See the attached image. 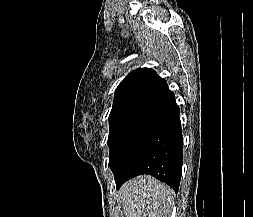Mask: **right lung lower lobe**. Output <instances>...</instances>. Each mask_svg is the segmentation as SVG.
Returning <instances> with one entry per match:
<instances>
[{
    "mask_svg": "<svg viewBox=\"0 0 253 217\" xmlns=\"http://www.w3.org/2000/svg\"><path fill=\"white\" fill-rule=\"evenodd\" d=\"M183 139L179 107L166 91L128 128L109 159L116 187L150 174L178 191L182 175Z\"/></svg>",
    "mask_w": 253,
    "mask_h": 217,
    "instance_id": "right-lung-lower-lobe-1",
    "label": "right lung lower lobe"
}]
</instances>
